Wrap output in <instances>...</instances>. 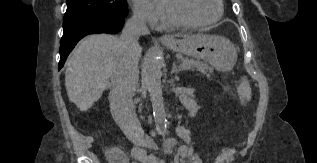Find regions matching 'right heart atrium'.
Instances as JSON below:
<instances>
[{
	"instance_id": "d8ad5b80",
	"label": "right heart atrium",
	"mask_w": 317,
	"mask_h": 163,
	"mask_svg": "<svg viewBox=\"0 0 317 163\" xmlns=\"http://www.w3.org/2000/svg\"><path fill=\"white\" fill-rule=\"evenodd\" d=\"M133 15L141 22L155 26L159 23L163 7L158 0H129Z\"/></svg>"
}]
</instances>
